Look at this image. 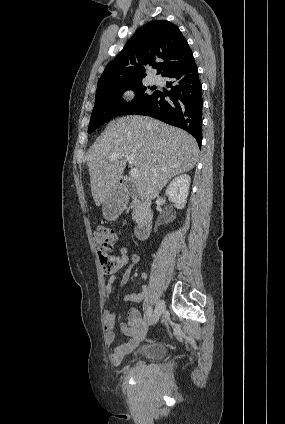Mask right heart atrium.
<instances>
[{
  "label": "right heart atrium",
  "instance_id": "1",
  "mask_svg": "<svg viewBox=\"0 0 285 424\" xmlns=\"http://www.w3.org/2000/svg\"><path fill=\"white\" fill-rule=\"evenodd\" d=\"M135 92L132 89H125L121 93V98L125 103H131L135 99Z\"/></svg>",
  "mask_w": 285,
  "mask_h": 424
}]
</instances>
